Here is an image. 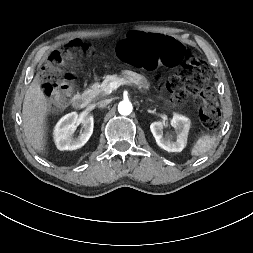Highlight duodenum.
I'll list each match as a JSON object with an SVG mask.
<instances>
[{
  "mask_svg": "<svg viewBox=\"0 0 253 253\" xmlns=\"http://www.w3.org/2000/svg\"><path fill=\"white\" fill-rule=\"evenodd\" d=\"M93 98L92 92H84L74 96L72 103L77 109H83L91 102Z\"/></svg>",
  "mask_w": 253,
  "mask_h": 253,
  "instance_id": "1",
  "label": "duodenum"
}]
</instances>
